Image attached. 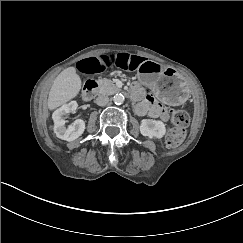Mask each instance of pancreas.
<instances>
[{"label": "pancreas", "mask_w": 243, "mask_h": 243, "mask_svg": "<svg viewBox=\"0 0 243 243\" xmlns=\"http://www.w3.org/2000/svg\"><path fill=\"white\" fill-rule=\"evenodd\" d=\"M100 93L113 94L118 91L117 86L109 78H100L97 80Z\"/></svg>", "instance_id": "1"}]
</instances>
